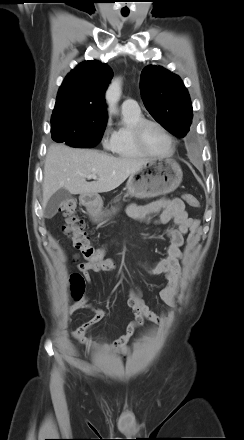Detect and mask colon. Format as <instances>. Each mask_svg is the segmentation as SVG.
I'll list each match as a JSON object with an SVG mask.
<instances>
[{"label": "colon", "instance_id": "1", "mask_svg": "<svg viewBox=\"0 0 244 440\" xmlns=\"http://www.w3.org/2000/svg\"><path fill=\"white\" fill-rule=\"evenodd\" d=\"M184 200L193 208L199 207L198 199L191 194H185ZM76 208L77 202L73 198L62 202L59 205L58 214L64 218L63 231L71 238L74 247L81 253L87 262L101 270L109 271L113 269L115 267V262L106 258V248H95L91 244V239L85 230L83 220L75 216ZM198 226L199 222L194 220L190 228L192 235L195 234ZM71 287L73 296L76 299H79L83 295L85 289L83 278L78 274L73 275L71 278Z\"/></svg>", "mask_w": 244, "mask_h": 440}]
</instances>
